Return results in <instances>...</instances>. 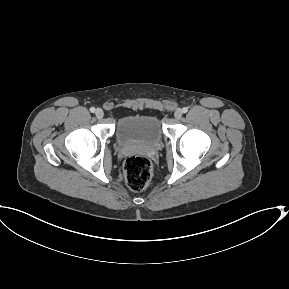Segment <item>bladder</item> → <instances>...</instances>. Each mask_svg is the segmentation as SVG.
<instances>
[{"label": "bladder", "mask_w": 289, "mask_h": 289, "mask_svg": "<svg viewBox=\"0 0 289 289\" xmlns=\"http://www.w3.org/2000/svg\"><path fill=\"white\" fill-rule=\"evenodd\" d=\"M117 141L122 145H158L163 129L157 116L151 114L128 115L121 118L116 127Z\"/></svg>", "instance_id": "bladder-1"}]
</instances>
